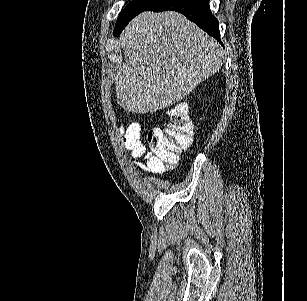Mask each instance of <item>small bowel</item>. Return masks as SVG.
Masks as SVG:
<instances>
[{
    "mask_svg": "<svg viewBox=\"0 0 307 301\" xmlns=\"http://www.w3.org/2000/svg\"><path fill=\"white\" fill-rule=\"evenodd\" d=\"M119 135L123 139L126 152L135 159L136 166L146 173L162 174L166 167L142 142V128L137 122H132L127 126H121ZM144 159V162L139 159Z\"/></svg>",
    "mask_w": 307,
    "mask_h": 301,
    "instance_id": "1",
    "label": "small bowel"
}]
</instances>
